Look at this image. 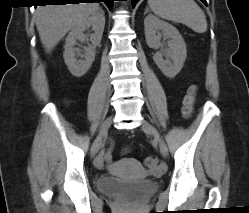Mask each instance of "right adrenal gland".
Returning <instances> with one entry per match:
<instances>
[{
    "label": "right adrenal gland",
    "mask_w": 249,
    "mask_h": 213,
    "mask_svg": "<svg viewBox=\"0 0 249 213\" xmlns=\"http://www.w3.org/2000/svg\"><path fill=\"white\" fill-rule=\"evenodd\" d=\"M99 11H100L102 14H104V11H103L101 8L99 9Z\"/></svg>",
    "instance_id": "right-adrenal-gland-1"
}]
</instances>
